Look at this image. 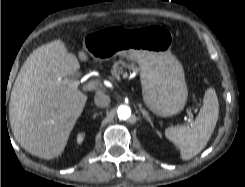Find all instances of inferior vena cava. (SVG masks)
Segmentation results:
<instances>
[{
  "instance_id": "1",
  "label": "inferior vena cava",
  "mask_w": 245,
  "mask_h": 187,
  "mask_svg": "<svg viewBox=\"0 0 245 187\" xmlns=\"http://www.w3.org/2000/svg\"><path fill=\"white\" fill-rule=\"evenodd\" d=\"M94 102L98 107H107L110 104V97L104 93H97Z\"/></svg>"
}]
</instances>
